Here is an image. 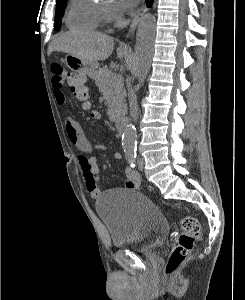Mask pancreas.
<instances>
[{
    "label": "pancreas",
    "instance_id": "1",
    "mask_svg": "<svg viewBox=\"0 0 245 300\" xmlns=\"http://www.w3.org/2000/svg\"><path fill=\"white\" fill-rule=\"evenodd\" d=\"M95 83L106 97L109 118L115 121L126 109L122 77L104 67L97 71Z\"/></svg>",
    "mask_w": 245,
    "mask_h": 300
}]
</instances>
